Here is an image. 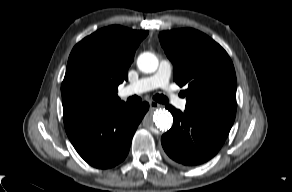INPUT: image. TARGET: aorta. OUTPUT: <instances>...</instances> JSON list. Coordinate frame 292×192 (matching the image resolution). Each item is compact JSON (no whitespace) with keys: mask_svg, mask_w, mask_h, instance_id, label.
<instances>
[{"mask_svg":"<svg viewBox=\"0 0 292 192\" xmlns=\"http://www.w3.org/2000/svg\"><path fill=\"white\" fill-rule=\"evenodd\" d=\"M159 65L158 58L150 52H144L139 55L137 59V66L140 71L144 73H153L157 70ZM173 123V117L170 112L165 109L156 110L152 117L144 118V125L150 130L154 128L160 131H167L171 128Z\"/></svg>","mask_w":292,"mask_h":192,"instance_id":"1","label":"aorta"}]
</instances>
